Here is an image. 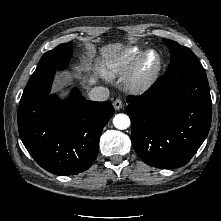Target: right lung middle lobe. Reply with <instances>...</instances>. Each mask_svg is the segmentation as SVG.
I'll return each mask as SVG.
<instances>
[{
	"label": "right lung middle lobe",
	"instance_id": "dd1d6c3e",
	"mask_svg": "<svg viewBox=\"0 0 221 221\" xmlns=\"http://www.w3.org/2000/svg\"><path fill=\"white\" fill-rule=\"evenodd\" d=\"M72 56V43H64L53 50L46 52L40 59L34 73L46 70H62L67 65Z\"/></svg>",
	"mask_w": 221,
	"mask_h": 221
}]
</instances>
